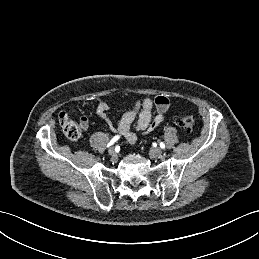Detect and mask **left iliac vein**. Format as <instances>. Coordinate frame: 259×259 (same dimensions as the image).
<instances>
[{"instance_id": "1", "label": "left iliac vein", "mask_w": 259, "mask_h": 259, "mask_svg": "<svg viewBox=\"0 0 259 259\" xmlns=\"http://www.w3.org/2000/svg\"><path fill=\"white\" fill-rule=\"evenodd\" d=\"M162 153H163V150L159 147L153 148L150 151V154L153 156H158V155H161Z\"/></svg>"}]
</instances>
